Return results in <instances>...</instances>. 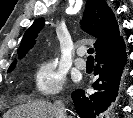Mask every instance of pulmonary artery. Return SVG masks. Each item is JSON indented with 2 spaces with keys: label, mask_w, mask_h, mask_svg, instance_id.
<instances>
[{
  "label": "pulmonary artery",
  "mask_w": 133,
  "mask_h": 118,
  "mask_svg": "<svg viewBox=\"0 0 133 118\" xmlns=\"http://www.w3.org/2000/svg\"><path fill=\"white\" fill-rule=\"evenodd\" d=\"M85 51L86 50L84 48H80L77 51L79 57L76 58V60H75L76 67L79 68V69H81V70H83V69L86 68V61L82 58V56L84 55Z\"/></svg>",
  "instance_id": "e3ab8cb5"
}]
</instances>
